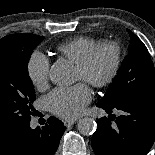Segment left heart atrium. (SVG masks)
Listing matches in <instances>:
<instances>
[{
    "label": "left heart atrium",
    "instance_id": "1",
    "mask_svg": "<svg viewBox=\"0 0 155 155\" xmlns=\"http://www.w3.org/2000/svg\"><path fill=\"white\" fill-rule=\"evenodd\" d=\"M90 100L91 92L84 83L57 88L46 96V104L50 111L67 119L78 117Z\"/></svg>",
    "mask_w": 155,
    "mask_h": 155
}]
</instances>
